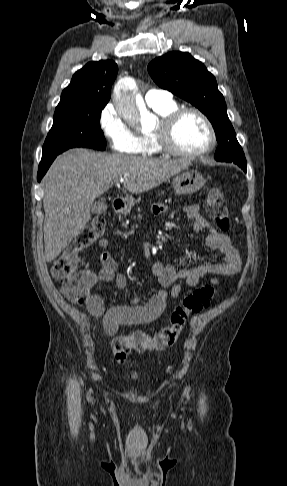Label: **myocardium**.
Returning <instances> with one entry per match:
<instances>
[{
    "label": "myocardium",
    "mask_w": 287,
    "mask_h": 486,
    "mask_svg": "<svg viewBox=\"0 0 287 486\" xmlns=\"http://www.w3.org/2000/svg\"><path fill=\"white\" fill-rule=\"evenodd\" d=\"M188 113H193L197 115L203 121L209 135V141L206 147H204L201 150L193 151V152H187L178 149L174 145L172 140L173 130L177 122L182 116ZM153 135L162 152H165L172 156L181 157V158H197V157L207 155L215 148L217 144L216 132L210 119L203 111H201L196 107H191V106L179 107L174 111L170 112L165 117H163L160 120V123L156 131L153 133Z\"/></svg>",
    "instance_id": "1"
}]
</instances>
